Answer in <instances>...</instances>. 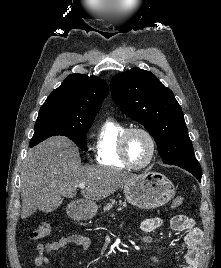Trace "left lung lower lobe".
<instances>
[{
	"label": "left lung lower lobe",
	"mask_w": 221,
	"mask_h": 268,
	"mask_svg": "<svg viewBox=\"0 0 221 268\" xmlns=\"http://www.w3.org/2000/svg\"><path fill=\"white\" fill-rule=\"evenodd\" d=\"M173 165L179 166L189 171L198 179V181H201V167L196 159L177 162Z\"/></svg>",
	"instance_id": "0a47b994"
}]
</instances>
